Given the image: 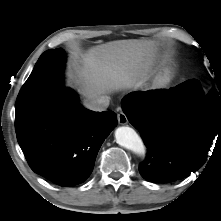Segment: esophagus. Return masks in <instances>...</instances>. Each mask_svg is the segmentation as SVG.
I'll return each mask as SVG.
<instances>
[{"label": "esophagus", "instance_id": "obj_1", "mask_svg": "<svg viewBox=\"0 0 221 221\" xmlns=\"http://www.w3.org/2000/svg\"><path fill=\"white\" fill-rule=\"evenodd\" d=\"M118 122L121 125H125L128 123V119H127L125 113L122 111L118 113Z\"/></svg>", "mask_w": 221, "mask_h": 221}]
</instances>
